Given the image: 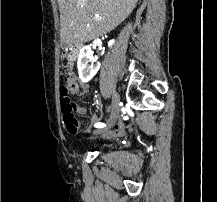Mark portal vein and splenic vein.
Instances as JSON below:
<instances>
[{
	"instance_id": "1",
	"label": "portal vein and splenic vein",
	"mask_w": 217,
	"mask_h": 202,
	"mask_svg": "<svg viewBox=\"0 0 217 202\" xmlns=\"http://www.w3.org/2000/svg\"><path fill=\"white\" fill-rule=\"evenodd\" d=\"M94 20H101V18H99L98 14H96Z\"/></svg>"
}]
</instances>
